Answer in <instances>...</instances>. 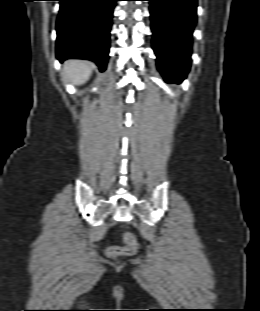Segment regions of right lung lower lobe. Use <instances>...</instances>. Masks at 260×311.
Listing matches in <instances>:
<instances>
[{"instance_id":"1","label":"right lung lower lobe","mask_w":260,"mask_h":311,"mask_svg":"<svg viewBox=\"0 0 260 311\" xmlns=\"http://www.w3.org/2000/svg\"><path fill=\"white\" fill-rule=\"evenodd\" d=\"M56 55L94 61L104 71L108 60L111 18L116 0H58Z\"/></svg>"}]
</instances>
